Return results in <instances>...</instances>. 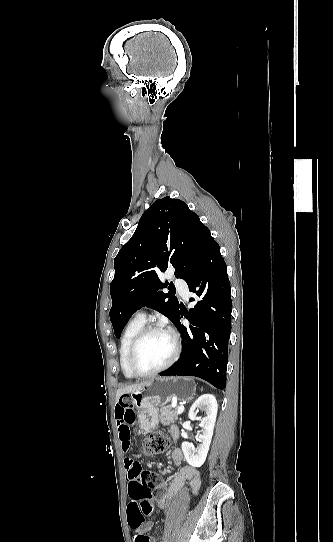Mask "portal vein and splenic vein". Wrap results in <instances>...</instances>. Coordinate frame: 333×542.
Listing matches in <instances>:
<instances>
[{"label":"portal vein and splenic vein","mask_w":333,"mask_h":542,"mask_svg":"<svg viewBox=\"0 0 333 542\" xmlns=\"http://www.w3.org/2000/svg\"><path fill=\"white\" fill-rule=\"evenodd\" d=\"M184 412V406H181V408H178L177 414H182Z\"/></svg>","instance_id":"18ae733b"}]
</instances>
